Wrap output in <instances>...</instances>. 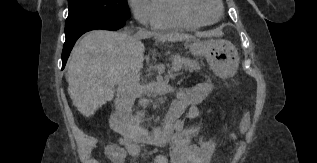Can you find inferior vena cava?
Returning a JSON list of instances; mask_svg holds the SVG:
<instances>
[{
    "mask_svg": "<svg viewBox=\"0 0 317 163\" xmlns=\"http://www.w3.org/2000/svg\"><path fill=\"white\" fill-rule=\"evenodd\" d=\"M146 31L139 29L138 34L144 35ZM139 75L134 72H127L118 83L115 107L120 115L127 118L130 116L134 101L138 94Z\"/></svg>",
    "mask_w": 317,
    "mask_h": 163,
    "instance_id": "1",
    "label": "inferior vena cava"
}]
</instances>
